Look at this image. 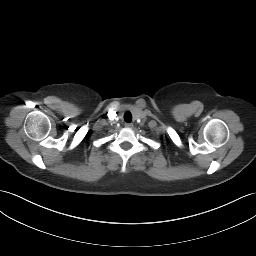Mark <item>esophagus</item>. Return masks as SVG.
<instances>
[{
	"label": "esophagus",
	"instance_id": "esophagus-1",
	"mask_svg": "<svg viewBox=\"0 0 256 256\" xmlns=\"http://www.w3.org/2000/svg\"><path fill=\"white\" fill-rule=\"evenodd\" d=\"M125 127H127V128H132V127H133V124H132V123H126V124H125Z\"/></svg>",
	"mask_w": 256,
	"mask_h": 256
}]
</instances>
